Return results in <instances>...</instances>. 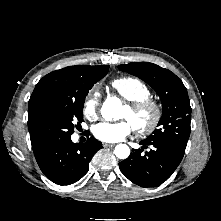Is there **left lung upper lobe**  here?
Listing matches in <instances>:
<instances>
[{"label": "left lung upper lobe", "instance_id": "left-lung-upper-lobe-1", "mask_svg": "<svg viewBox=\"0 0 221 221\" xmlns=\"http://www.w3.org/2000/svg\"><path fill=\"white\" fill-rule=\"evenodd\" d=\"M118 68L144 80L160 96L163 112L158 129L145 140L185 150L191 132V107L182 81L170 70L149 62L119 65Z\"/></svg>", "mask_w": 221, "mask_h": 221}]
</instances>
